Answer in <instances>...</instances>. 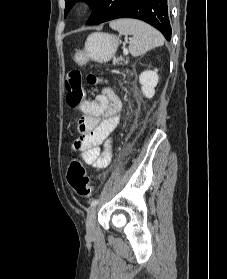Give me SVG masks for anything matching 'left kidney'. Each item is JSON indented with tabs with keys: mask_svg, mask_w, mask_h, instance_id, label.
Here are the masks:
<instances>
[{
	"mask_svg": "<svg viewBox=\"0 0 227 279\" xmlns=\"http://www.w3.org/2000/svg\"><path fill=\"white\" fill-rule=\"evenodd\" d=\"M158 70H146L139 76L141 89L145 97L152 98L155 94V87L158 83Z\"/></svg>",
	"mask_w": 227,
	"mask_h": 279,
	"instance_id": "5707ae66",
	"label": "left kidney"
}]
</instances>
